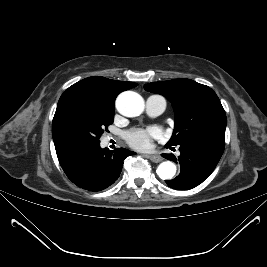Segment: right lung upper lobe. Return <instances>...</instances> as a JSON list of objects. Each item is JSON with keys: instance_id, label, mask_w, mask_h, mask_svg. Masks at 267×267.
<instances>
[{"instance_id": "obj_1", "label": "right lung upper lobe", "mask_w": 267, "mask_h": 267, "mask_svg": "<svg viewBox=\"0 0 267 267\" xmlns=\"http://www.w3.org/2000/svg\"><path fill=\"white\" fill-rule=\"evenodd\" d=\"M137 86L134 82H123L94 76L83 79L69 87L62 95L77 90H90L97 93L105 101L114 104L119 93Z\"/></svg>"}]
</instances>
